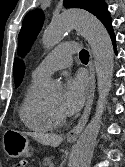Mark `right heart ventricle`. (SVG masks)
<instances>
[{
  "label": "right heart ventricle",
  "instance_id": "right-heart-ventricle-1",
  "mask_svg": "<svg viewBox=\"0 0 125 167\" xmlns=\"http://www.w3.org/2000/svg\"><path fill=\"white\" fill-rule=\"evenodd\" d=\"M42 82L43 79L32 78L18 109L21 123L27 129L37 133H47L55 128L46 110L45 100L40 94Z\"/></svg>",
  "mask_w": 125,
  "mask_h": 167
}]
</instances>
